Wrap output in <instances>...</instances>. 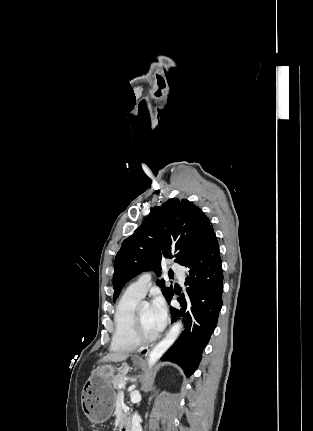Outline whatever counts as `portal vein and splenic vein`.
Segmentation results:
<instances>
[{
    "label": "portal vein and splenic vein",
    "mask_w": 313,
    "mask_h": 431,
    "mask_svg": "<svg viewBox=\"0 0 313 431\" xmlns=\"http://www.w3.org/2000/svg\"><path fill=\"white\" fill-rule=\"evenodd\" d=\"M124 386H125L124 383H120L119 384V389H123ZM120 394L123 395L124 394L123 391H121Z\"/></svg>",
    "instance_id": "18ae733b"
}]
</instances>
